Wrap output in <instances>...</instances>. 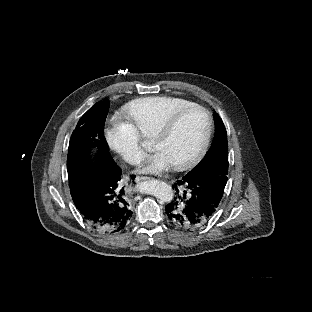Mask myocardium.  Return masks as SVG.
Masks as SVG:
<instances>
[{"mask_svg":"<svg viewBox=\"0 0 312 312\" xmlns=\"http://www.w3.org/2000/svg\"><path fill=\"white\" fill-rule=\"evenodd\" d=\"M184 117H195L199 119V129L201 135V145L192 156L183 161H177L171 164L170 169L174 173H182L189 168L195 166L196 163L205 159L209 155L212 147V136L215 130V123L212 113L204 105H189L172 110L166 116L165 121L161 124L159 135L156 136L155 141L157 144L162 145L165 143L167 136L170 135L173 124L176 121L182 120Z\"/></svg>","mask_w":312,"mask_h":312,"instance_id":"f54148a6","label":"myocardium"}]
</instances>
